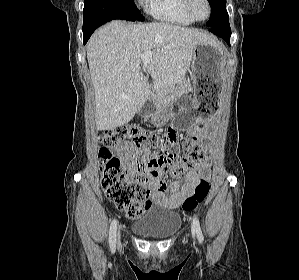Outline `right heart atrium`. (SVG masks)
I'll list each match as a JSON object with an SVG mask.
<instances>
[{
  "label": "right heart atrium",
  "instance_id": "d8ad5b80",
  "mask_svg": "<svg viewBox=\"0 0 299 280\" xmlns=\"http://www.w3.org/2000/svg\"><path fill=\"white\" fill-rule=\"evenodd\" d=\"M140 3H145L146 0H138Z\"/></svg>",
  "mask_w": 299,
  "mask_h": 280
}]
</instances>
